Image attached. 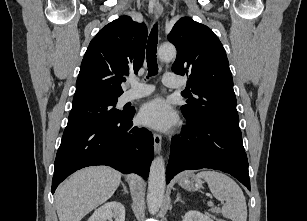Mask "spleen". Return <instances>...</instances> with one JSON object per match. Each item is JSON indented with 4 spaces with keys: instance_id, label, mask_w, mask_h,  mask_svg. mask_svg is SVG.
<instances>
[{
    "instance_id": "obj_1",
    "label": "spleen",
    "mask_w": 307,
    "mask_h": 221,
    "mask_svg": "<svg viewBox=\"0 0 307 221\" xmlns=\"http://www.w3.org/2000/svg\"><path fill=\"white\" fill-rule=\"evenodd\" d=\"M198 177L203 178L213 196L223 202L222 214L232 221L247 220V205L239 185L227 175L214 170L201 171ZM208 206H213L209 201Z\"/></svg>"
}]
</instances>
